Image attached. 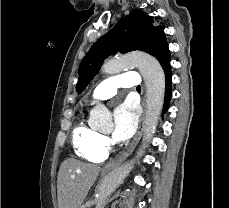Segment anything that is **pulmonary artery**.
<instances>
[{"mask_svg":"<svg viewBox=\"0 0 229 208\" xmlns=\"http://www.w3.org/2000/svg\"><path fill=\"white\" fill-rule=\"evenodd\" d=\"M140 79L136 73L124 72L111 75L104 79L93 91L91 104L106 100L114 96L119 88L124 87H139Z\"/></svg>","mask_w":229,"mask_h":208,"instance_id":"e3ab8cb5","label":"pulmonary artery"}]
</instances>
